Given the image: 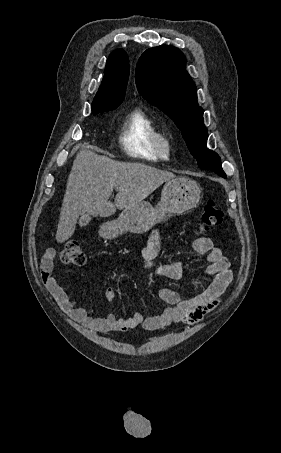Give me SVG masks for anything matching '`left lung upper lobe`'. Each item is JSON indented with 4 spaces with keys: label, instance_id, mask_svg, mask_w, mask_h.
Listing matches in <instances>:
<instances>
[{
    "label": "left lung upper lobe",
    "instance_id": "1",
    "mask_svg": "<svg viewBox=\"0 0 281 453\" xmlns=\"http://www.w3.org/2000/svg\"><path fill=\"white\" fill-rule=\"evenodd\" d=\"M135 80L143 98L166 113L182 131L198 166L223 173L220 157L206 147L203 109L197 103L196 86L185 70L183 53L168 45L146 50L137 63Z\"/></svg>",
    "mask_w": 281,
    "mask_h": 453
}]
</instances>
